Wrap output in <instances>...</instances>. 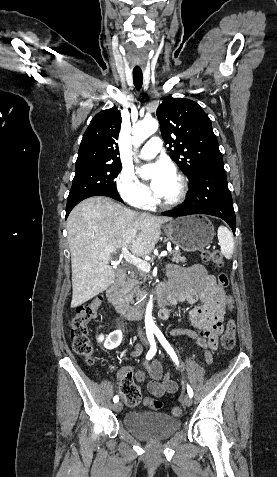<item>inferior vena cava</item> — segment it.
I'll list each match as a JSON object with an SVG mask.
<instances>
[{
  "mask_svg": "<svg viewBox=\"0 0 277 477\" xmlns=\"http://www.w3.org/2000/svg\"><path fill=\"white\" fill-rule=\"evenodd\" d=\"M142 215L145 216V215H147V214H146V213H143ZM138 335H139L140 338H143V337H144V333H143V331H142V329H141L140 327L138 328Z\"/></svg>",
  "mask_w": 277,
  "mask_h": 477,
  "instance_id": "inferior-vena-cava-1",
  "label": "inferior vena cava"
}]
</instances>
